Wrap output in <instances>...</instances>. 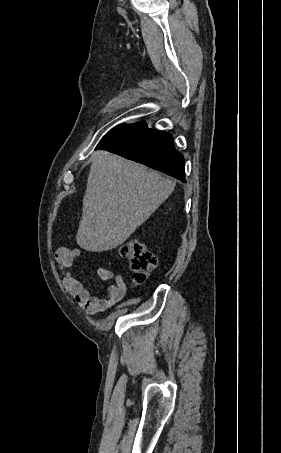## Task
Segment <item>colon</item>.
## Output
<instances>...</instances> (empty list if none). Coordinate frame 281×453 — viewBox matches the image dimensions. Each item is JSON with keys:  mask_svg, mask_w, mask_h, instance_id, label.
I'll return each mask as SVG.
<instances>
[{"mask_svg": "<svg viewBox=\"0 0 281 453\" xmlns=\"http://www.w3.org/2000/svg\"><path fill=\"white\" fill-rule=\"evenodd\" d=\"M120 256L128 262L133 280L144 282L158 265V258L137 239H128L116 246Z\"/></svg>", "mask_w": 281, "mask_h": 453, "instance_id": "obj_1", "label": "colon"}]
</instances>
